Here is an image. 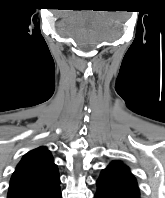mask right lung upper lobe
Segmentation results:
<instances>
[{
	"mask_svg": "<svg viewBox=\"0 0 165 198\" xmlns=\"http://www.w3.org/2000/svg\"><path fill=\"white\" fill-rule=\"evenodd\" d=\"M60 177L46 147L28 152L12 175L7 198H44L59 188Z\"/></svg>",
	"mask_w": 165,
	"mask_h": 198,
	"instance_id": "right-lung-upper-lobe-1",
	"label": "right lung upper lobe"
}]
</instances>
